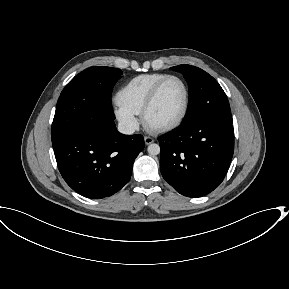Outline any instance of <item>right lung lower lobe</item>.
I'll return each mask as SVG.
<instances>
[{
    "mask_svg": "<svg viewBox=\"0 0 289 289\" xmlns=\"http://www.w3.org/2000/svg\"><path fill=\"white\" fill-rule=\"evenodd\" d=\"M66 183L88 198H104L131 178L135 158L145 144L140 135H123L113 121L96 120L52 142Z\"/></svg>",
    "mask_w": 289,
    "mask_h": 289,
    "instance_id": "98d812e1",
    "label": "right lung lower lobe"
}]
</instances>
